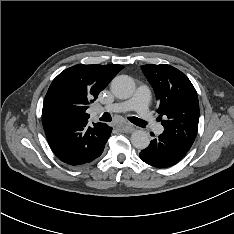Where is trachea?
I'll use <instances>...</instances> for the list:
<instances>
[{
    "label": "trachea",
    "mask_w": 234,
    "mask_h": 234,
    "mask_svg": "<svg viewBox=\"0 0 234 234\" xmlns=\"http://www.w3.org/2000/svg\"><path fill=\"white\" fill-rule=\"evenodd\" d=\"M100 120L101 121H111V115L106 112V113H104L102 115V117L100 118ZM129 120L132 123H134V124H136V125H138L140 127H145L147 125V123L145 121H143V120H141V119H139L137 117H129Z\"/></svg>",
    "instance_id": "trachea-1"
}]
</instances>
